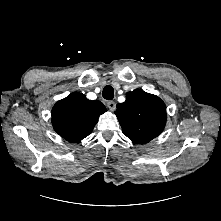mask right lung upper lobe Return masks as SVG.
Segmentation results:
<instances>
[{
  "label": "right lung upper lobe",
  "instance_id": "right-lung-upper-lobe-1",
  "mask_svg": "<svg viewBox=\"0 0 221 221\" xmlns=\"http://www.w3.org/2000/svg\"><path fill=\"white\" fill-rule=\"evenodd\" d=\"M105 106L98 100H88L82 93H71L52 108L54 130L69 142L87 137L96 125Z\"/></svg>",
  "mask_w": 221,
  "mask_h": 221
}]
</instances>
